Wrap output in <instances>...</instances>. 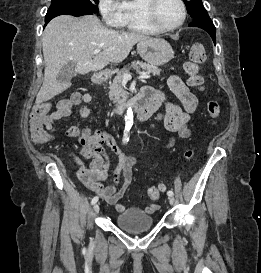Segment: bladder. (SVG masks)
Here are the masks:
<instances>
[{
  "instance_id": "31cf9c89",
  "label": "bladder",
  "mask_w": 261,
  "mask_h": 273,
  "mask_svg": "<svg viewBox=\"0 0 261 273\" xmlns=\"http://www.w3.org/2000/svg\"><path fill=\"white\" fill-rule=\"evenodd\" d=\"M154 218L145 209L131 207L115 218L116 225L128 232H144L154 225Z\"/></svg>"
}]
</instances>
